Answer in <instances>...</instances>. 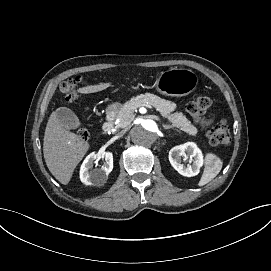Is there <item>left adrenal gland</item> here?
I'll list each match as a JSON object with an SVG mask.
<instances>
[{"mask_svg":"<svg viewBox=\"0 0 271 271\" xmlns=\"http://www.w3.org/2000/svg\"><path fill=\"white\" fill-rule=\"evenodd\" d=\"M163 128L164 129H171V128H174V126L173 125H166V124H164Z\"/></svg>","mask_w":271,"mask_h":271,"instance_id":"1","label":"left adrenal gland"}]
</instances>
